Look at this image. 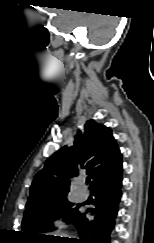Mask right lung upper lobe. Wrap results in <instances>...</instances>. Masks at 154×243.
<instances>
[{
  "mask_svg": "<svg viewBox=\"0 0 154 243\" xmlns=\"http://www.w3.org/2000/svg\"><path fill=\"white\" fill-rule=\"evenodd\" d=\"M84 130L83 136L80 131L76 135L73 147L61 148L36 174L26 209L66 197L70 180L80 169L87 170L93 184L122 165L121 153L110 128L89 120Z\"/></svg>",
  "mask_w": 154,
  "mask_h": 243,
  "instance_id": "cb5924a9",
  "label": "right lung upper lobe"
}]
</instances>
